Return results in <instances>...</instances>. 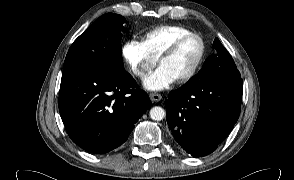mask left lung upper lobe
<instances>
[{"label": "left lung upper lobe", "instance_id": "obj_1", "mask_svg": "<svg viewBox=\"0 0 294 180\" xmlns=\"http://www.w3.org/2000/svg\"><path fill=\"white\" fill-rule=\"evenodd\" d=\"M213 45L214 53L206 59L198 74L185 85H201L221 78H241L234 60L218 38L214 40Z\"/></svg>", "mask_w": 294, "mask_h": 180}]
</instances>
